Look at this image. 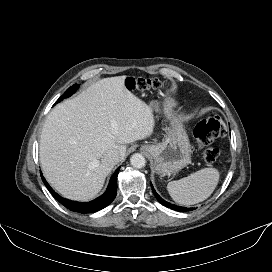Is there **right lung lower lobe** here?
<instances>
[{"instance_id": "1", "label": "right lung lower lobe", "mask_w": 272, "mask_h": 272, "mask_svg": "<svg viewBox=\"0 0 272 272\" xmlns=\"http://www.w3.org/2000/svg\"><path fill=\"white\" fill-rule=\"evenodd\" d=\"M119 169L120 167L112 175L106 192L100 197L90 202H76L62 198L61 196L54 192V190L46 182L42 174L41 177L47 189L52 193V195L57 199V201L60 202L63 206H65L67 209L79 213H94L105 208L115 199L117 192V175Z\"/></svg>"}]
</instances>
